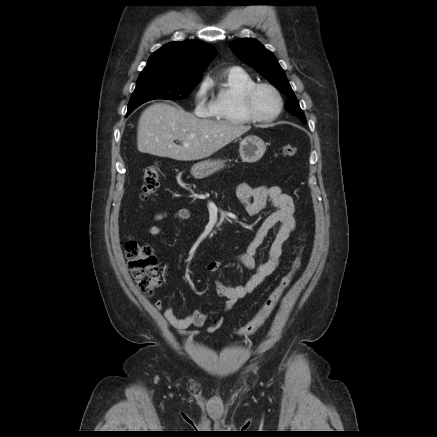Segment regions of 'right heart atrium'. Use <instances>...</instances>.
Returning a JSON list of instances; mask_svg holds the SVG:
<instances>
[{
    "mask_svg": "<svg viewBox=\"0 0 437 437\" xmlns=\"http://www.w3.org/2000/svg\"><path fill=\"white\" fill-rule=\"evenodd\" d=\"M208 91L209 83L204 81L194 95L195 113L201 117H208L213 114V100L209 98Z\"/></svg>",
    "mask_w": 437,
    "mask_h": 437,
    "instance_id": "d8ad5b80",
    "label": "right heart atrium"
}]
</instances>
